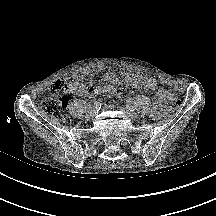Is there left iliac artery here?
Masks as SVG:
<instances>
[{"mask_svg":"<svg viewBox=\"0 0 216 216\" xmlns=\"http://www.w3.org/2000/svg\"><path fill=\"white\" fill-rule=\"evenodd\" d=\"M127 108H128L130 111H134V110L136 109V106H135L133 103H131V104H129V105L127 106Z\"/></svg>","mask_w":216,"mask_h":216,"instance_id":"left-iliac-artery-1","label":"left iliac artery"}]
</instances>
